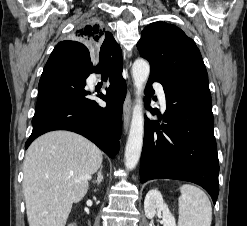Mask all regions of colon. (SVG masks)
<instances>
[{
	"mask_svg": "<svg viewBox=\"0 0 247 226\" xmlns=\"http://www.w3.org/2000/svg\"><path fill=\"white\" fill-rule=\"evenodd\" d=\"M69 226H76L75 224H70Z\"/></svg>",
	"mask_w": 247,
	"mask_h": 226,
	"instance_id": "colon-1",
	"label": "colon"
}]
</instances>
